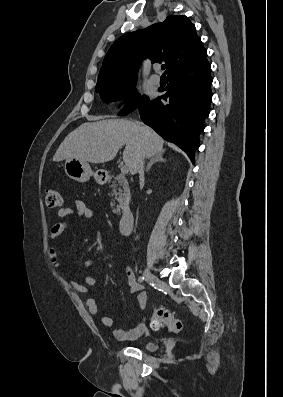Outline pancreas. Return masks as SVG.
<instances>
[{
	"instance_id": "cf45deb5",
	"label": "pancreas",
	"mask_w": 283,
	"mask_h": 397,
	"mask_svg": "<svg viewBox=\"0 0 283 397\" xmlns=\"http://www.w3.org/2000/svg\"><path fill=\"white\" fill-rule=\"evenodd\" d=\"M115 180L119 184L118 191L116 189L117 184L114 182L112 187H113V194L115 195V199H117L120 203L118 208L114 211L115 213H119L122 205H128L130 202L131 194H130V189L129 185L126 181V179L123 177V175H118L116 176ZM118 196V198H117Z\"/></svg>"
}]
</instances>
